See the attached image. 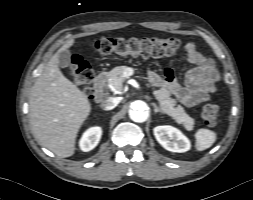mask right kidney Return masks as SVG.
Instances as JSON below:
<instances>
[{
  "label": "right kidney",
  "instance_id": "obj_1",
  "mask_svg": "<svg viewBox=\"0 0 253 200\" xmlns=\"http://www.w3.org/2000/svg\"><path fill=\"white\" fill-rule=\"evenodd\" d=\"M102 135L100 127H93L88 129L80 140V148L84 152L94 149L99 143Z\"/></svg>",
  "mask_w": 253,
  "mask_h": 200
}]
</instances>
